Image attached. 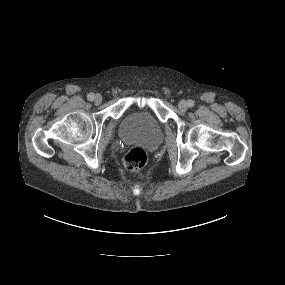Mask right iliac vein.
Wrapping results in <instances>:
<instances>
[{"label": "right iliac vein", "instance_id": "obj_1", "mask_svg": "<svg viewBox=\"0 0 285 285\" xmlns=\"http://www.w3.org/2000/svg\"><path fill=\"white\" fill-rule=\"evenodd\" d=\"M94 102L95 104H100L102 102V96L100 94H96L94 96Z\"/></svg>", "mask_w": 285, "mask_h": 285}]
</instances>
